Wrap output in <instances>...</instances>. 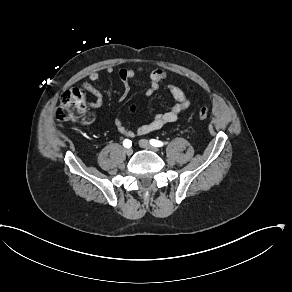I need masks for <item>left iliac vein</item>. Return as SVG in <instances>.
<instances>
[{
    "mask_svg": "<svg viewBox=\"0 0 292 292\" xmlns=\"http://www.w3.org/2000/svg\"><path fill=\"white\" fill-rule=\"evenodd\" d=\"M139 145L140 147L144 148V149H147V150H150V151H153V152H158L159 150L155 147H153L149 141L145 140V139H142L139 141Z\"/></svg>",
    "mask_w": 292,
    "mask_h": 292,
    "instance_id": "4c4485c4",
    "label": "left iliac vein"
}]
</instances>
